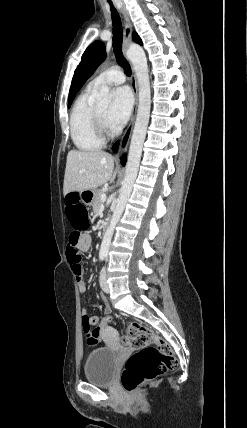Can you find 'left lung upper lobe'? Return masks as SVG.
Returning a JSON list of instances; mask_svg holds the SVG:
<instances>
[{
    "label": "left lung upper lobe",
    "mask_w": 247,
    "mask_h": 428,
    "mask_svg": "<svg viewBox=\"0 0 247 428\" xmlns=\"http://www.w3.org/2000/svg\"><path fill=\"white\" fill-rule=\"evenodd\" d=\"M133 40L142 45L137 33H133ZM105 45L101 41L93 42L83 53L80 64L75 70L69 91L68 108H70L76 93L89 77L92 76L97 67L105 60Z\"/></svg>",
    "instance_id": "obj_1"
}]
</instances>
